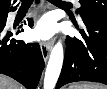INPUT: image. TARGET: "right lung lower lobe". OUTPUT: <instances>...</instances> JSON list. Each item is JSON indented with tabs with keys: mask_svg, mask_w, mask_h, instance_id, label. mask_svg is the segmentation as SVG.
<instances>
[{
	"mask_svg": "<svg viewBox=\"0 0 107 89\" xmlns=\"http://www.w3.org/2000/svg\"><path fill=\"white\" fill-rule=\"evenodd\" d=\"M15 7L0 12V73L10 76L27 89H35L45 66L38 43H25L10 39L13 30L5 28L8 12ZM33 26L32 21L28 22ZM23 29H17V34Z\"/></svg>",
	"mask_w": 107,
	"mask_h": 89,
	"instance_id": "98d812e1",
	"label": "right lung lower lobe"
}]
</instances>
